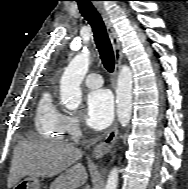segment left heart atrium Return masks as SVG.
Wrapping results in <instances>:
<instances>
[{"label": "left heart atrium", "mask_w": 188, "mask_h": 189, "mask_svg": "<svg viewBox=\"0 0 188 189\" xmlns=\"http://www.w3.org/2000/svg\"><path fill=\"white\" fill-rule=\"evenodd\" d=\"M87 123L95 130L109 126L114 114V100L107 89H99L88 94L86 100Z\"/></svg>", "instance_id": "left-heart-atrium-1"}]
</instances>
